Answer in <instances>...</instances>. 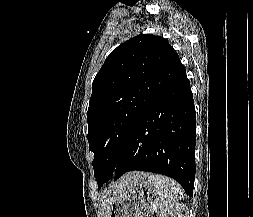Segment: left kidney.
Here are the masks:
<instances>
[{"label": "left kidney", "mask_w": 253, "mask_h": 217, "mask_svg": "<svg viewBox=\"0 0 253 217\" xmlns=\"http://www.w3.org/2000/svg\"><path fill=\"white\" fill-rule=\"evenodd\" d=\"M189 210L184 204L176 203L165 208L159 217H189Z\"/></svg>", "instance_id": "left-kidney-1"}]
</instances>
